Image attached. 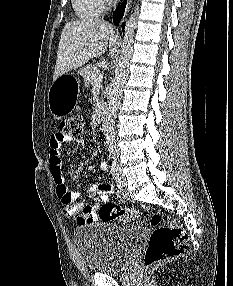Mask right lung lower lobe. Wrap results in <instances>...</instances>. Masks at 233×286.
Segmentation results:
<instances>
[{"label": "right lung lower lobe", "mask_w": 233, "mask_h": 286, "mask_svg": "<svg viewBox=\"0 0 233 286\" xmlns=\"http://www.w3.org/2000/svg\"><path fill=\"white\" fill-rule=\"evenodd\" d=\"M126 1L124 0L122 4L116 9V11L113 13V22L115 25H118L120 20L123 17L125 7H126ZM125 24L122 25V29L124 30Z\"/></svg>", "instance_id": "obj_1"}]
</instances>
